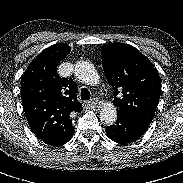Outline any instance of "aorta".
<instances>
[{
    "label": "aorta",
    "instance_id": "762f6f07",
    "mask_svg": "<svg viewBox=\"0 0 183 183\" xmlns=\"http://www.w3.org/2000/svg\"><path fill=\"white\" fill-rule=\"evenodd\" d=\"M75 75L88 85H96L99 82V74L91 63L78 61L75 65ZM100 120L106 125H112L117 119V110L114 104L106 103L100 110Z\"/></svg>",
    "mask_w": 183,
    "mask_h": 183
}]
</instances>
